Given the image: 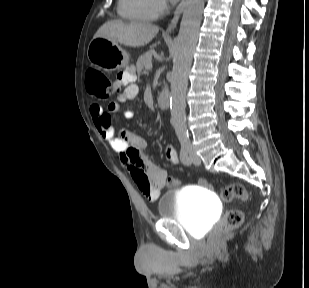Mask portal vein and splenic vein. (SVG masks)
<instances>
[{"mask_svg": "<svg viewBox=\"0 0 309 288\" xmlns=\"http://www.w3.org/2000/svg\"><path fill=\"white\" fill-rule=\"evenodd\" d=\"M152 68V63H150L148 66H147V69H151Z\"/></svg>", "mask_w": 309, "mask_h": 288, "instance_id": "portal-vein-and-splenic-vein-1", "label": "portal vein and splenic vein"}]
</instances>
